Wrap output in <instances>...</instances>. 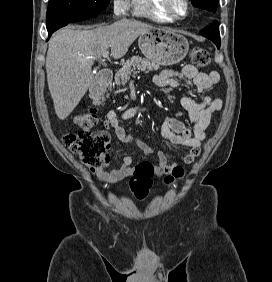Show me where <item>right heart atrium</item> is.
I'll return each instance as SVG.
<instances>
[{"label": "right heart atrium", "mask_w": 272, "mask_h": 282, "mask_svg": "<svg viewBox=\"0 0 272 282\" xmlns=\"http://www.w3.org/2000/svg\"><path fill=\"white\" fill-rule=\"evenodd\" d=\"M111 11L115 18H121L130 11L128 0H112Z\"/></svg>", "instance_id": "obj_1"}]
</instances>
